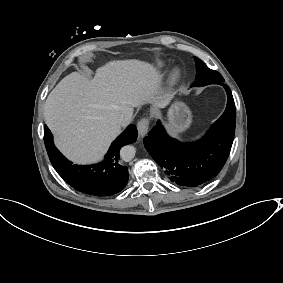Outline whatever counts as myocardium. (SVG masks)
<instances>
[{
    "label": "myocardium",
    "mask_w": 283,
    "mask_h": 283,
    "mask_svg": "<svg viewBox=\"0 0 283 283\" xmlns=\"http://www.w3.org/2000/svg\"><path fill=\"white\" fill-rule=\"evenodd\" d=\"M181 76V70L178 67H173L166 73L161 88L162 100L167 99L169 93L179 84Z\"/></svg>",
    "instance_id": "1"
}]
</instances>
